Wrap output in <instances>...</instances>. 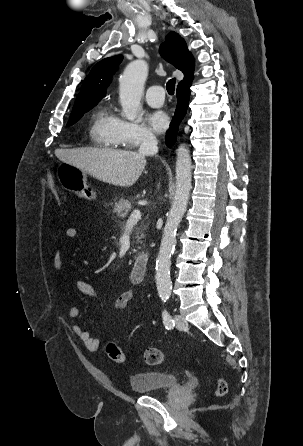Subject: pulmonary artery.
Here are the masks:
<instances>
[{
	"mask_svg": "<svg viewBox=\"0 0 303 446\" xmlns=\"http://www.w3.org/2000/svg\"><path fill=\"white\" fill-rule=\"evenodd\" d=\"M164 94L162 86H151L146 92V101L152 107H160L164 103Z\"/></svg>",
	"mask_w": 303,
	"mask_h": 446,
	"instance_id": "e3ab8cb5",
	"label": "pulmonary artery"
}]
</instances>
